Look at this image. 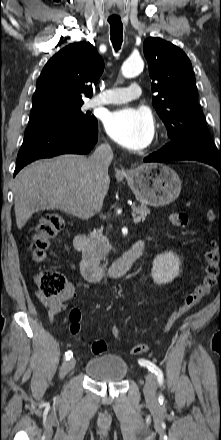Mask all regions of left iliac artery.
<instances>
[{
    "mask_svg": "<svg viewBox=\"0 0 221 440\" xmlns=\"http://www.w3.org/2000/svg\"><path fill=\"white\" fill-rule=\"evenodd\" d=\"M139 363L147 367L152 373H154L157 376L159 385L160 386L163 385V380H164L163 372L158 366L145 359L140 360Z\"/></svg>",
    "mask_w": 221,
    "mask_h": 440,
    "instance_id": "44dca946",
    "label": "left iliac artery"
}]
</instances>
